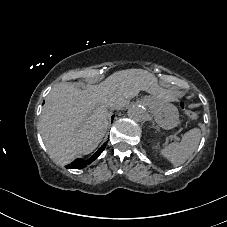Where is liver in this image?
Masks as SVG:
<instances>
[{"label":"liver","instance_id":"6515ba94","mask_svg":"<svg viewBox=\"0 0 227 227\" xmlns=\"http://www.w3.org/2000/svg\"><path fill=\"white\" fill-rule=\"evenodd\" d=\"M154 88L152 75L139 69L116 72L89 90L77 89L71 83L55 85L46 97L39 122L48 154L58 163H67L77 154L91 153L108 129L111 101L128 99L140 90L152 93Z\"/></svg>","mask_w":227,"mask_h":227}]
</instances>
